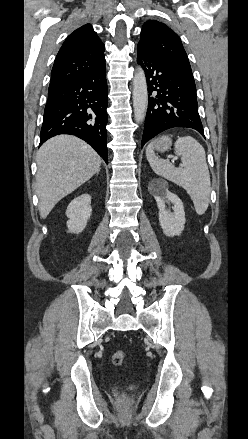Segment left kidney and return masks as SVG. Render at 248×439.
<instances>
[{"label": "left kidney", "instance_id": "5707ae66", "mask_svg": "<svg viewBox=\"0 0 248 439\" xmlns=\"http://www.w3.org/2000/svg\"><path fill=\"white\" fill-rule=\"evenodd\" d=\"M157 183V180H152L148 189L157 202L159 223L163 233L169 237L180 235L186 222L183 203L177 195L168 190L166 185L158 187ZM166 203L173 204V212L166 208Z\"/></svg>", "mask_w": 248, "mask_h": 439}]
</instances>
